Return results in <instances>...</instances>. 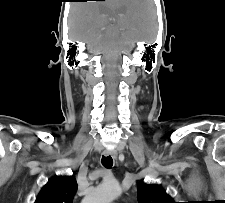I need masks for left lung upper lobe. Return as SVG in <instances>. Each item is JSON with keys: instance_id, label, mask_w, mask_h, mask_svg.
Listing matches in <instances>:
<instances>
[{"instance_id": "obj_1", "label": "left lung upper lobe", "mask_w": 225, "mask_h": 203, "mask_svg": "<svg viewBox=\"0 0 225 203\" xmlns=\"http://www.w3.org/2000/svg\"><path fill=\"white\" fill-rule=\"evenodd\" d=\"M137 191L139 203H176L158 185H147L142 182Z\"/></svg>"}]
</instances>
